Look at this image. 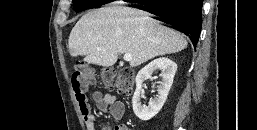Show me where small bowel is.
<instances>
[{
  "label": "small bowel",
  "mask_w": 257,
  "mask_h": 130,
  "mask_svg": "<svg viewBox=\"0 0 257 130\" xmlns=\"http://www.w3.org/2000/svg\"><path fill=\"white\" fill-rule=\"evenodd\" d=\"M77 99L80 112L84 118L85 125L87 130H96V117L91 113L90 105L87 101V98L82 101L80 99ZM92 100L95 103L97 109L100 112L108 113L113 122L116 123L120 121L124 114H125V104L118 100L114 95L112 94H103L99 91H95L92 94ZM102 130H131L127 125L125 124H119V125H106L103 127Z\"/></svg>",
  "instance_id": "small-bowel-1"
}]
</instances>
